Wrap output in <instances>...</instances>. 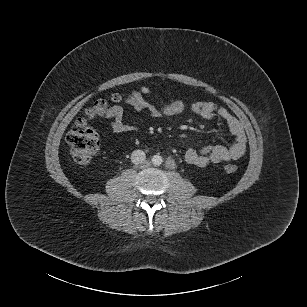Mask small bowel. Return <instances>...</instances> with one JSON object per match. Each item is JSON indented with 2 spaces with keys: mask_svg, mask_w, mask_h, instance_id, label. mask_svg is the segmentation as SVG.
<instances>
[{
  "mask_svg": "<svg viewBox=\"0 0 307 307\" xmlns=\"http://www.w3.org/2000/svg\"><path fill=\"white\" fill-rule=\"evenodd\" d=\"M152 94V89L143 86L138 91L127 93L124 97L135 113L147 111L151 118L176 116L186 109L182 100H174L167 104L153 105L143 99V95ZM188 108L192 113L205 120L219 119L223 121L233 136L229 147L223 145L206 146L200 150L189 149L185 153V160L191 165L204 167L210 163L232 161L240 158L246 151L247 138L239 120L227 109L214 102L194 100ZM115 133H130L136 130L135 125L125 120V111L119 105L112 106L103 115Z\"/></svg>",
  "mask_w": 307,
  "mask_h": 307,
  "instance_id": "obj_1",
  "label": "small bowel"
}]
</instances>
